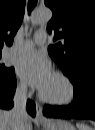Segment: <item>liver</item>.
<instances>
[{
  "instance_id": "6515ba94",
  "label": "liver",
  "mask_w": 95,
  "mask_h": 130,
  "mask_svg": "<svg viewBox=\"0 0 95 130\" xmlns=\"http://www.w3.org/2000/svg\"><path fill=\"white\" fill-rule=\"evenodd\" d=\"M14 121L10 111L0 110V130H14ZM22 130H32V120L27 115L21 124Z\"/></svg>"
}]
</instances>
